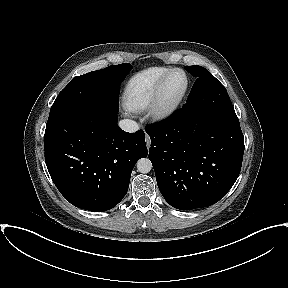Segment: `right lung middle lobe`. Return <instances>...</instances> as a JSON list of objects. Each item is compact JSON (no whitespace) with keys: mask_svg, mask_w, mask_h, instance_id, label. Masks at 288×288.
<instances>
[{"mask_svg":"<svg viewBox=\"0 0 288 288\" xmlns=\"http://www.w3.org/2000/svg\"><path fill=\"white\" fill-rule=\"evenodd\" d=\"M131 68L128 63L111 65L73 78L53 103L47 125L84 111L117 114L119 84Z\"/></svg>","mask_w":288,"mask_h":288,"instance_id":"right-lung-middle-lobe-1","label":"right lung middle lobe"}]
</instances>
